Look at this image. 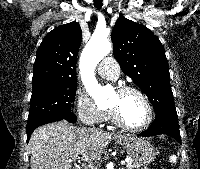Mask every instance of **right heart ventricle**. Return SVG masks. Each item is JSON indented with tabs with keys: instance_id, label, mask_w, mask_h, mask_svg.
<instances>
[{
	"instance_id": "1",
	"label": "right heart ventricle",
	"mask_w": 200,
	"mask_h": 169,
	"mask_svg": "<svg viewBox=\"0 0 200 169\" xmlns=\"http://www.w3.org/2000/svg\"><path fill=\"white\" fill-rule=\"evenodd\" d=\"M109 119H110L109 113L106 112V118H105V120H109Z\"/></svg>"
}]
</instances>
